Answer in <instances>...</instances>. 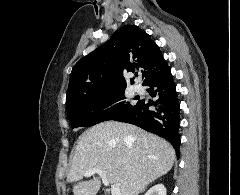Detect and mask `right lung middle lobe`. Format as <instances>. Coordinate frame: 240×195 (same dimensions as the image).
I'll return each instance as SVG.
<instances>
[{
  "label": "right lung middle lobe",
  "mask_w": 240,
  "mask_h": 195,
  "mask_svg": "<svg viewBox=\"0 0 240 195\" xmlns=\"http://www.w3.org/2000/svg\"><path fill=\"white\" fill-rule=\"evenodd\" d=\"M137 103L126 100L124 90L100 97H84L67 105V116L72 128L90 127L97 123L114 120L131 110Z\"/></svg>",
  "instance_id": "1"
}]
</instances>
